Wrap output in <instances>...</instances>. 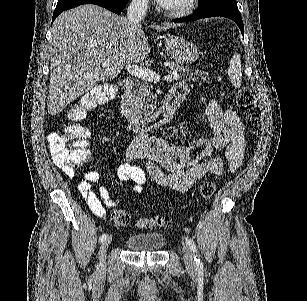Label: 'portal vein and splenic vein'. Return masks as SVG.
Masks as SVG:
<instances>
[{
    "label": "portal vein and splenic vein",
    "instance_id": "18ae733b",
    "mask_svg": "<svg viewBox=\"0 0 307 301\" xmlns=\"http://www.w3.org/2000/svg\"><path fill=\"white\" fill-rule=\"evenodd\" d=\"M106 64H110L109 60L102 62V66H106ZM126 68L130 74L143 78V80H151V82H159L160 80V74H156L150 68H142V66H137V64H127ZM178 76V72H173V76L172 74H166L163 78L164 80H172V78H178Z\"/></svg>",
    "mask_w": 307,
    "mask_h": 301
}]
</instances>
